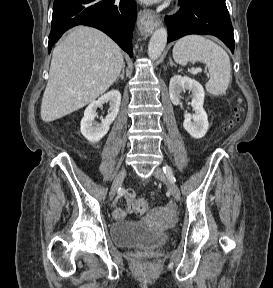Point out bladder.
<instances>
[{
    "mask_svg": "<svg viewBox=\"0 0 273 288\" xmlns=\"http://www.w3.org/2000/svg\"><path fill=\"white\" fill-rule=\"evenodd\" d=\"M110 236L117 247H158L167 243L171 235L167 231H157L141 223L122 222L111 226Z\"/></svg>",
    "mask_w": 273,
    "mask_h": 288,
    "instance_id": "1",
    "label": "bladder"
}]
</instances>
